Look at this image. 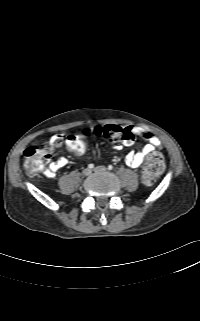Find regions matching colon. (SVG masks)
<instances>
[{
    "instance_id": "colon-1",
    "label": "colon",
    "mask_w": 200,
    "mask_h": 321,
    "mask_svg": "<svg viewBox=\"0 0 200 321\" xmlns=\"http://www.w3.org/2000/svg\"><path fill=\"white\" fill-rule=\"evenodd\" d=\"M95 135L105 138L112 143L131 145L135 140V132L131 127L119 125H97L92 128H85L79 133L67 137L66 146L75 155H81L86 150L83 137ZM52 147L49 144L42 146H31L24 151L25 168L29 173H36L41 170L49 161ZM164 169V159L159 153H152L147 158L143 167L142 180L146 185L153 184L161 175Z\"/></svg>"
}]
</instances>
